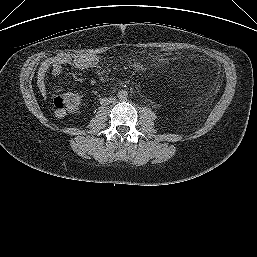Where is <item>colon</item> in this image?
<instances>
[{"label": "colon", "instance_id": "obj_1", "mask_svg": "<svg viewBox=\"0 0 257 257\" xmlns=\"http://www.w3.org/2000/svg\"><path fill=\"white\" fill-rule=\"evenodd\" d=\"M161 52L164 55H170L174 53V48L170 46L163 47ZM81 103V98L79 95L74 93H65L56 95L53 100L52 104L56 112H76Z\"/></svg>", "mask_w": 257, "mask_h": 257}]
</instances>
